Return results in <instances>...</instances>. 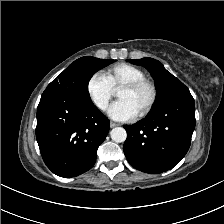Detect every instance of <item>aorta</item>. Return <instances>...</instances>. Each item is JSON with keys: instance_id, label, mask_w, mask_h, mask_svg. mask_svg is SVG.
Listing matches in <instances>:
<instances>
[{"instance_id": "obj_1", "label": "aorta", "mask_w": 224, "mask_h": 224, "mask_svg": "<svg viewBox=\"0 0 224 224\" xmlns=\"http://www.w3.org/2000/svg\"><path fill=\"white\" fill-rule=\"evenodd\" d=\"M111 139L116 143H122L127 138V132L122 127H115L110 132Z\"/></svg>"}]
</instances>
